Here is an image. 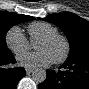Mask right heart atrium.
Segmentation results:
<instances>
[{"instance_id":"d8ad5b80","label":"right heart atrium","mask_w":89,"mask_h":89,"mask_svg":"<svg viewBox=\"0 0 89 89\" xmlns=\"http://www.w3.org/2000/svg\"><path fill=\"white\" fill-rule=\"evenodd\" d=\"M5 42L7 47L15 55L21 54L22 52L27 51L31 47L30 42L18 26H13L7 31L5 36Z\"/></svg>"}]
</instances>
